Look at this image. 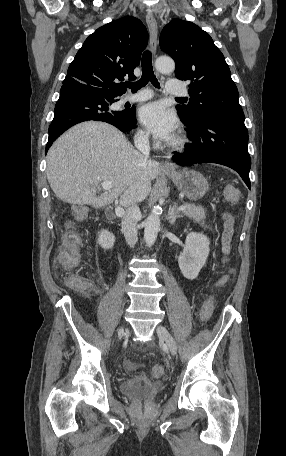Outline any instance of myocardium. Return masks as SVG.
Listing matches in <instances>:
<instances>
[{
	"label": "myocardium",
	"instance_id": "obj_1",
	"mask_svg": "<svg viewBox=\"0 0 286 456\" xmlns=\"http://www.w3.org/2000/svg\"><path fill=\"white\" fill-rule=\"evenodd\" d=\"M186 141L184 136L179 135L170 143V147L173 149H181L186 144Z\"/></svg>",
	"mask_w": 286,
	"mask_h": 456
}]
</instances>
